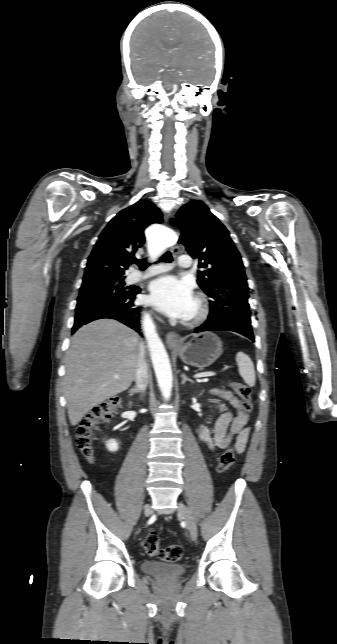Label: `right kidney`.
I'll return each instance as SVG.
<instances>
[{"label": "right kidney", "mask_w": 337, "mask_h": 644, "mask_svg": "<svg viewBox=\"0 0 337 644\" xmlns=\"http://www.w3.org/2000/svg\"><path fill=\"white\" fill-rule=\"evenodd\" d=\"M106 447L109 451L115 452L118 450L119 446L116 440L111 439L106 442Z\"/></svg>", "instance_id": "1"}]
</instances>
